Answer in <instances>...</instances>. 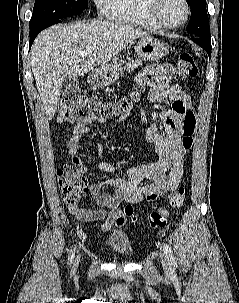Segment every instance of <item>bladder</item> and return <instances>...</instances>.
<instances>
[{"label": "bladder", "mask_w": 239, "mask_h": 303, "mask_svg": "<svg viewBox=\"0 0 239 303\" xmlns=\"http://www.w3.org/2000/svg\"><path fill=\"white\" fill-rule=\"evenodd\" d=\"M107 247L114 254L118 256H125L130 252L132 242L127 234H120L118 236L109 238L107 241Z\"/></svg>", "instance_id": "bladder-1"}]
</instances>
